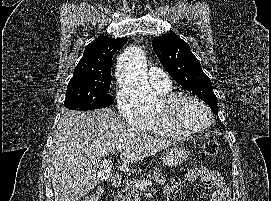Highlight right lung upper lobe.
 Here are the masks:
<instances>
[{"label":"right lung upper lobe","instance_id":"cb5924a9","mask_svg":"<svg viewBox=\"0 0 271 201\" xmlns=\"http://www.w3.org/2000/svg\"><path fill=\"white\" fill-rule=\"evenodd\" d=\"M126 42L127 38L99 36L85 48L74 75L111 74L112 57Z\"/></svg>","mask_w":271,"mask_h":201}]
</instances>
